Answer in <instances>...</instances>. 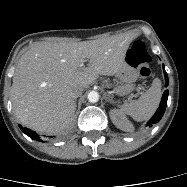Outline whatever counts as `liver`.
Masks as SVG:
<instances>
[{
  "label": "liver",
  "instance_id": "obj_1",
  "mask_svg": "<svg viewBox=\"0 0 187 187\" xmlns=\"http://www.w3.org/2000/svg\"><path fill=\"white\" fill-rule=\"evenodd\" d=\"M132 40L131 34H120L31 46L20 57L13 76L12 104L19 121L48 135L69 128L76 107L71 91L86 89L99 75H116L126 65Z\"/></svg>",
  "mask_w": 187,
  "mask_h": 187
}]
</instances>
